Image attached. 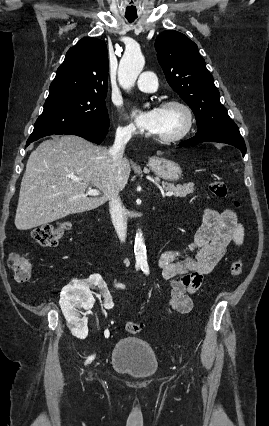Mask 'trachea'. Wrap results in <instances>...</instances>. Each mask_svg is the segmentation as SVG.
<instances>
[{
	"instance_id": "1",
	"label": "trachea",
	"mask_w": 269,
	"mask_h": 426,
	"mask_svg": "<svg viewBox=\"0 0 269 426\" xmlns=\"http://www.w3.org/2000/svg\"><path fill=\"white\" fill-rule=\"evenodd\" d=\"M136 18H127L129 22H133Z\"/></svg>"
}]
</instances>
